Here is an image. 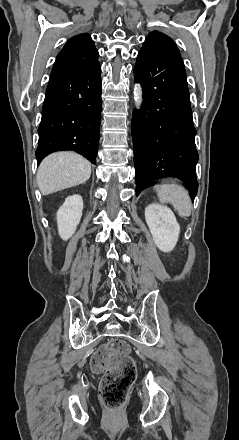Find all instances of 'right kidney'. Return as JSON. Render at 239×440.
I'll use <instances>...</instances> for the list:
<instances>
[{"label": "right kidney", "instance_id": "ca27d5eb", "mask_svg": "<svg viewBox=\"0 0 239 440\" xmlns=\"http://www.w3.org/2000/svg\"><path fill=\"white\" fill-rule=\"evenodd\" d=\"M83 200L78 194L68 196L57 212L58 234L62 240H69L80 224Z\"/></svg>", "mask_w": 239, "mask_h": 440}]
</instances>
